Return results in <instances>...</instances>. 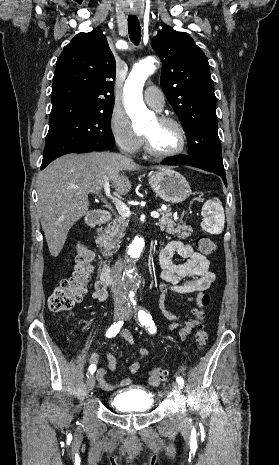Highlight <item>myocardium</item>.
I'll use <instances>...</instances> for the list:
<instances>
[{
    "label": "myocardium",
    "instance_id": "f54148a6",
    "mask_svg": "<svg viewBox=\"0 0 279 465\" xmlns=\"http://www.w3.org/2000/svg\"><path fill=\"white\" fill-rule=\"evenodd\" d=\"M157 121L159 123H161V124H172L177 128L178 133H179V145L173 151H170V152H158L152 147L149 138L146 135H143L144 148H145L146 152L150 156H152L154 158H158V159L173 158V157H176V156L182 154L183 151L185 150V147H186V144H187V134H186L185 128L182 125V123L179 120H177V119H175V118H173L171 116H159L157 118Z\"/></svg>",
    "mask_w": 279,
    "mask_h": 465
}]
</instances>
